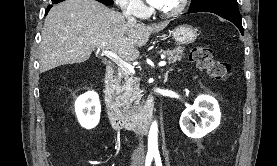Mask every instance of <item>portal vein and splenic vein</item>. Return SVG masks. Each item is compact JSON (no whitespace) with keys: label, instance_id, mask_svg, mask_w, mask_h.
I'll return each instance as SVG.
<instances>
[{"label":"portal vein and splenic vein","instance_id":"1","mask_svg":"<svg viewBox=\"0 0 277 166\" xmlns=\"http://www.w3.org/2000/svg\"><path fill=\"white\" fill-rule=\"evenodd\" d=\"M102 53L108 57L109 59H111L112 61H114L119 67H121L123 70H128L131 73H134V68L127 62L123 61L116 53L110 51V50H103ZM166 65V61H161L159 63V66H165Z\"/></svg>","mask_w":277,"mask_h":166}]
</instances>
